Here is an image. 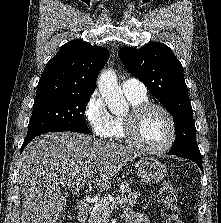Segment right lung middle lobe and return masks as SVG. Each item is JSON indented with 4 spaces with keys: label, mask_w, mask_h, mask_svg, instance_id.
Returning <instances> with one entry per match:
<instances>
[{
    "label": "right lung middle lobe",
    "mask_w": 221,
    "mask_h": 223,
    "mask_svg": "<svg viewBox=\"0 0 221 223\" xmlns=\"http://www.w3.org/2000/svg\"><path fill=\"white\" fill-rule=\"evenodd\" d=\"M90 96L65 95L35 100L26 138L47 132L90 133L84 117Z\"/></svg>",
    "instance_id": "obj_1"
}]
</instances>
